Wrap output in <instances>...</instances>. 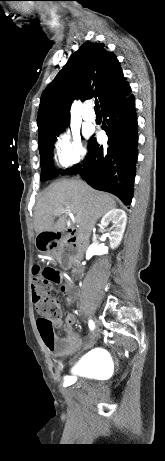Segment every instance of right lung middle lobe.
<instances>
[{
  "mask_svg": "<svg viewBox=\"0 0 165 461\" xmlns=\"http://www.w3.org/2000/svg\"><path fill=\"white\" fill-rule=\"evenodd\" d=\"M67 124L56 130L45 133L43 137L39 139V153L41 156V181L52 179L58 175L52 167L53 143L56 140V136H58L62 129H65Z\"/></svg>",
  "mask_w": 165,
  "mask_h": 461,
  "instance_id": "dd1d6c3e",
  "label": "right lung middle lobe"
}]
</instances>
